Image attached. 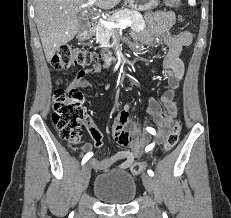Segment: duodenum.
<instances>
[{
    "label": "duodenum",
    "instance_id": "obj_1",
    "mask_svg": "<svg viewBox=\"0 0 231 218\" xmlns=\"http://www.w3.org/2000/svg\"><path fill=\"white\" fill-rule=\"evenodd\" d=\"M94 31H95L94 24L88 23L84 27L83 31L79 34V38L81 40H87L93 35ZM121 61H122V58L120 56L110 57L106 59L105 62L103 63V68L109 69Z\"/></svg>",
    "mask_w": 231,
    "mask_h": 218
}]
</instances>
